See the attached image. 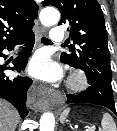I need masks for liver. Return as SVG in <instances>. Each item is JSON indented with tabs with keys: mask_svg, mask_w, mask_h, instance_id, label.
I'll return each mask as SVG.
<instances>
[{
	"mask_svg": "<svg viewBox=\"0 0 117 131\" xmlns=\"http://www.w3.org/2000/svg\"><path fill=\"white\" fill-rule=\"evenodd\" d=\"M18 122L17 110L10 103L0 99V131H15Z\"/></svg>",
	"mask_w": 117,
	"mask_h": 131,
	"instance_id": "obj_1",
	"label": "liver"
}]
</instances>
